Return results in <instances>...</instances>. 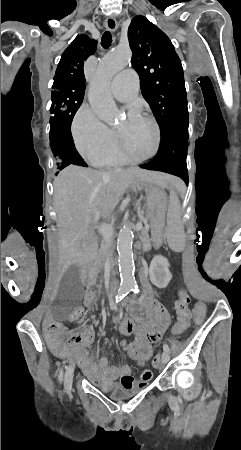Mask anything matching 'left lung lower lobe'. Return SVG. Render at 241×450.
I'll list each match as a JSON object with an SVG mask.
<instances>
[{
	"instance_id": "obj_1",
	"label": "left lung lower lobe",
	"mask_w": 241,
	"mask_h": 450,
	"mask_svg": "<svg viewBox=\"0 0 241 450\" xmlns=\"http://www.w3.org/2000/svg\"><path fill=\"white\" fill-rule=\"evenodd\" d=\"M188 125V113L174 118L167 127L161 130V141L157 155L151 162L140 167L179 176L188 185L186 164Z\"/></svg>"
}]
</instances>
